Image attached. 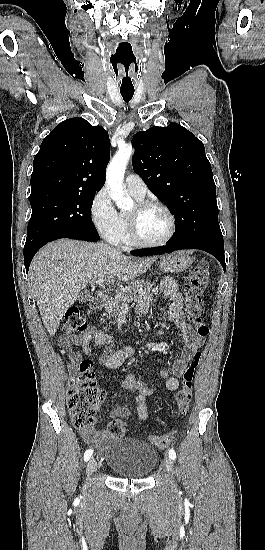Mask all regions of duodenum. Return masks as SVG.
<instances>
[{
    "mask_svg": "<svg viewBox=\"0 0 265 550\" xmlns=\"http://www.w3.org/2000/svg\"><path fill=\"white\" fill-rule=\"evenodd\" d=\"M106 301V297L103 293L96 294L90 303L91 309L94 311L100 310Z\"/></svg>",
    "mask_w": 265,
    "mask_h": 550,
    "instance_id": "duodenum-1",
    "label": "duodenum"
}]
</instances>
